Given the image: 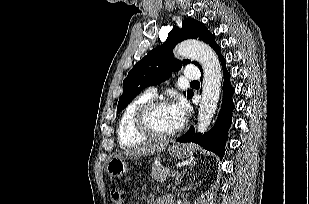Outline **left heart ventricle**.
<instances>
[{"instance_id": "left-heart-ventricle-1", "label": "left heart ventricle", "mask_w": 309, "mask_h": 204, "mask_svg": "<svg viewBox=\"0 0 309 204\" xmlns=\"http://www.w3.org/2000/svg\"><path fill=\"white\" fill-rule=\"evenodd\" d=\"M149 124L157 133H168L179 126L172 105L155 109L149 117Z\"/></svg>"}]
</instances>
